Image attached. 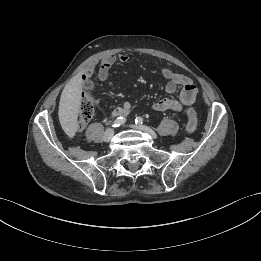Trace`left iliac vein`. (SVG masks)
<instances>
[{"label":"left iliac vein","instance_id":"4c4485c4","mask_svg":"<svg viewBox=\"0 0 261 261\" xmlns=\"http://www.w3.org/2000/svg\"><path fill=\"white\" fill-rule=\"evenodd\" d=\"M131 128L133 129H137V130H140V131H143V132H146L148 133L152 138H157V135L156 133L151 129L149 128L148 126H142V125H135V124H132L130 125Z\"/></svg>","mask_w":261,"mask_h":261}]
</instances>
